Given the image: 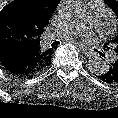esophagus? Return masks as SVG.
<instances>
[{"instance_id":"34e87169","label":"esophagus","mask_w":118,"mask_h":118,"mask_svg":"<svg viewBox=\"0 0 118 118\" xmlns=\"http://www.w3.org/2000/svg\"><path fill=\"white\" fill-rule=\"evenodd\" d=\"M80 49H81L82 53H83L85 56H87V57H89V58H91V57L93 56V53H92L90 50H88L86 47L80 45Z\"/></svg>"}]
</instances>
